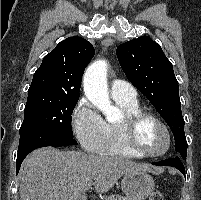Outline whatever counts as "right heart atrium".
I'll list each match as a JSON object with an SVG mask.
<instances>
[{"label": "right heart atrium", "mask_w": 201, "mask_h": 200, "mask_svg": "<svg viewBox=\"0 0 201 200\" xmlns=\"http://www.w3.org/2000/svg\"><path fill=\"white\" fill-rule=\"evenodd\" d=\"M73 131L82 147L92 153L104 148L106 123L87 99H82L72 114Z\"/></svg>", "instance_id": "right-heart-atrium-1"}]
</instances>
